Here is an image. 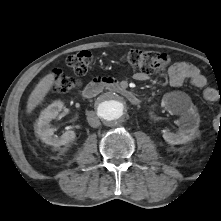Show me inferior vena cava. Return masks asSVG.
<instances>
[{"label":"inferior vena cava","mask_w":221,"mask_h":221,"mask_svg":"<svg viewBox=\"0 0 221 221\" xmlns=\"http://www.w3.org/2000/svg\"><path fill=\"white\" fill-rule=\"evenodd\" d=\"M88 123L91 127H98L100 125V120L94 112H90L87 116Z\"/></svg>","instance_id":"obj_1"}]
</instances>
